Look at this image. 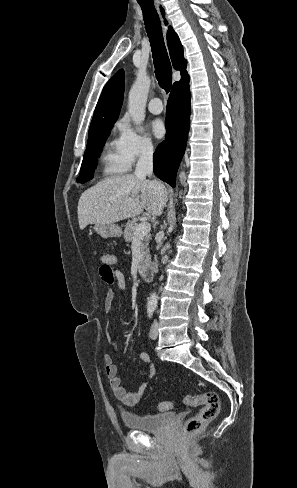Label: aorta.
<instances>
[{
	"label": "aorta",
	"instance_id": "762f6f07",
	"mask_svg": "<svg viewBox=\"0 0 297 488\" xmlns=\"http://www.w3.org/2000/svg\"><path fill=\"white\" fill-rule=\"evenodd\" d=\"M150 77L143 72L137 74L136 80L128 95V111L135 125H140L145 119V107L150 89ZM158 296L152 293L148 298V305L156 306Z\"/></svg>",
	"mask_w": 297,
	"mask_h": 488
}]
</instances>
